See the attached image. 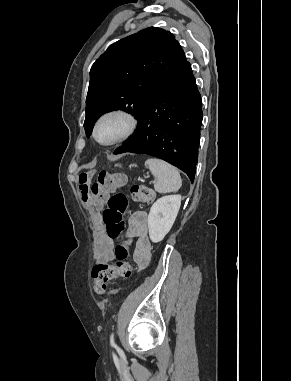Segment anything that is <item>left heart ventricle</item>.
<instances>
[{
	"instance_id": "1",
	"label": "left heart ventricle",
	"mask_w": 291,
	"mask_h": 381,
	"mask_svg": "<svg viewBox=\"0 0 291 381\" xmlns=\"http://www.w3.org/2000/svg\"><path fill=\"white\" fill-rule=\"evenodd\" d=\"M126 126V121L123 118L118 116L108 117L98 127V139L103 143L110 142L120 136L125 131Z\"/></svg>"
}]
</instances>
